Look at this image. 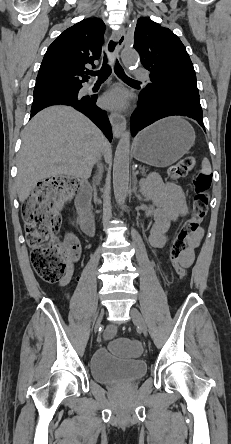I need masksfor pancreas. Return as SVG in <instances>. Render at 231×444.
Returning a JSON list of instances; mask_svg holds the SVG:
<instances>
[{"label": "pancreas", "instance_id": "pancreas-1", "mask_svg": "<svg viewBox=\"0 0 231 444\" xmlns=\"http://www.w3.org/2000/svg\"><path fill=\"white\" fill-rule=\"evenodd\" d=\"M140 171H141L142 176H146L147 173L149 172V169H148V167L143 166V167H140Z\"/></svg>", "mask_w": 231, "mask_h": 444}]
</instances>
